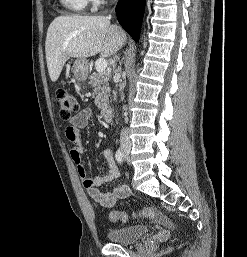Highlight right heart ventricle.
Wrapping results in <instances>:
<instances>
[{
  "instance_id": "1",
  "label": "right heart ventricle",
  "mask_w": 247,
  "mask_h": 257,
  "mask_svg": "<svg viewBox=\"0 0 247 257\" xmlns=\"http://www.w3.org/2000/svg\"><path fill=\"white\" fill-rule=\"evenodd\" d=\"M61 3L69 10L76 13L85 12L88 1L87 0H61Z\"/></svg>"
}]
</instances>
